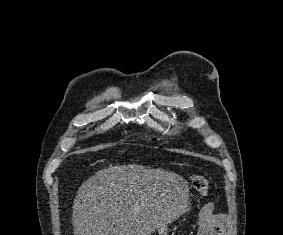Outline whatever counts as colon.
<instances>
[{
  "mask_svg": "<svg viewBox=\"0 0 283 235\" xmlns=\"http://www.w3.org/2000/svg\"><path fill=\"white\" fill-rule=\"evenodd\" d=\"M191 183L194 189L201 195H207L209 185L207 179L198 173H194L190 176Z\"/></svg>",
  "mask_w": 283,
  "mask_h": 235,
  "instance_id": "1",
  "label": "colon"
}]
</instances>
